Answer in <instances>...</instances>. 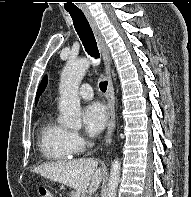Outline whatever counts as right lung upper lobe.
<instances>
[{
  "instance_id": "right-lung-upper-lobe-1",
  "label": "right lung upper lobe",
  "mask_w": 191,
  "mask_h": 197,
  "mask_svg": "<svg viewBox=\"0 0 191 197\" xmlns=\"http://www.w3.org/2000/svg\"><path fill=\"white\" fill-rule=\"evenodd\" d=\"M46 85H47V76H45L43 78V80L41 81V83H40V85L38 87L37 94H36V103L38 101L39 96L43 93Z\"/></svg>"
}]
</instances>
